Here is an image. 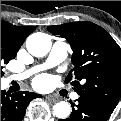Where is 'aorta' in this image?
Listing matches in <instances>:
<instances>
[{
	"label": "aorta",
	"instance_id": "aorta-1",
	"mask_svg": "<svg viewBox=\"0 0 121 121\" xmlns=\"http://www.w3.org/2000/svg\"><path fill=\"white\" fill-rule=\"evenodd\" d=\"M26 47L31 55L43 57L51 49L50 36L41 32L33 33L27 38ZM54 115L59 119L67 118L70 115V105L65 101L56 103Z\"/></svg>",
	"mask_w": 121,
	"mask_h": 121
}]
</instances>
